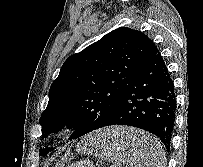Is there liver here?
Wrapping results in <instances>:
<instances>
[{
  "label": "liver",
  "instance_id": "liver-1",
  "mask_svg": "<svg viewBox=\"0 0 203 167\" xmlns=\"http://www.w3.org/2000/svg\"><path fill=\"white\" fill-rule=\"evenodd\" d=\"M102 136L116 138L118 140L124 141V143L129 145L127 149L133 153H136V150L134 149H137L138 151V148H140L145 140L150 137L149 134L145 133L142 130L128 127L108 128L106 132L102 133ZM63 165L64 164L61 163L58 164L57 167H63Z\"/></svg>",
  "mask_w": 203,
  "mask_h": 167
}]
</instances>
